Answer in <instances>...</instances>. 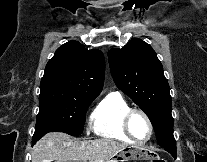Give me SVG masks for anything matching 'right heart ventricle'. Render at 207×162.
<instances>
[{
	"instance_id": "right-heart-ventricle-1",
	"label": "right heart ventricle",
	"mask_w": 207,
	"mask_h": 162,
	"mask_svg": "<svg viewBox=\"0 0 207 162\" xmlns=\"http://www.w3.org/2000/svg\"><path fill=\"white\" fill-rule=\"evenodd\" d=\"M131 109L119 92L108 93L91 114V127L100 137L119 141H131L122 129L125 114Z\"/></svg>"
}]
</instances>
